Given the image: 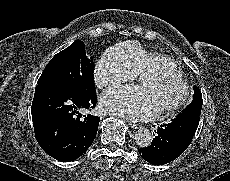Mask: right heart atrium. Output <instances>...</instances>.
Wrapping results in <instances>:
<instances>
[{
    "label": "right heart atrium",
    "mask_w": 230,
    "mask_h": 181,
    "mask_svg": "<svg viewBox=\"0 0 230 181\" xmlns=\"http://www.w3.org/2000/svg\"><path fill=\"white\" fill-rule=\"evenodd\" d=\"M94 74L96 84L101 88L117 87L128 76V74L109 61L108 57L96 65Z\"/></svg>",
    "instance_id": "1"
}]
</instances>
